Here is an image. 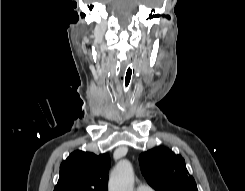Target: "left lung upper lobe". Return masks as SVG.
Here are the masks:
<instances>
[{
	"mask_svg": "<svg viewBox=\"0 0 245 191\" xmlns=\"http://www.w3.org/2000/svg\"><path fill=\"white\" fill-rule=\"evenodd\" d=\"M139 162L144 177L158 191H198L183 157L168 148L143 152Z\"/></svg>",
	"mask_w": 245,
	"mask_h": 191,
	"instance_id": "5c2ea615",
	"label": "left lung upper lobe"
}]
</instances>
